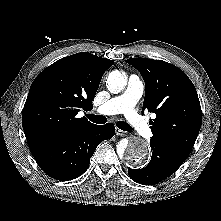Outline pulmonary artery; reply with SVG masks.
<instances>
[{"label":"pulmonary artery","instance_id":"obj_1","mask_svg":"<svg viewBox=\"0 0 221 221\" xmlns=\"http://www.w3.org/2000/svg\"><path fill=\"white\" fill-rule=\"evenodd\" d=\"M144 89V82L138 76L131 75L125 91L100 105L96 112L100 115L121 113L139 135L150 137L152 135L151 127L135 110V106L142 97Z\"/></svg>","mask_w":221,"mask_h":221}]
</instances>
